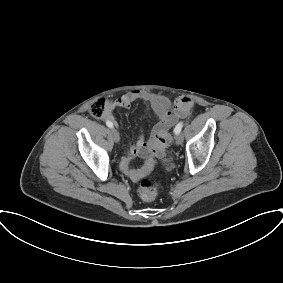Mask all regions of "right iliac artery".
Here are the masks:
<instances>
[{"instance_id": "obj_1", "label": "right iliac artery", "mask_w": 283, "mask_h": 283, "mask_svg": "<svg viewBox=\"0 0 283 283\" xmlns=\"http://www.w3.org/2000/svg\"><path fill=\"white\" fill-rule=\"evenodd\" d=\"M106 125H107L109 128H113V123L110 122V121H106Z\"/></svg>"}]
</instances>
